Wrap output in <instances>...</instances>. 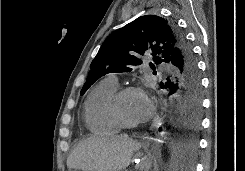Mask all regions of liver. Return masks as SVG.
<instances>
[{
	"mask_svg": "<svg viewBox=\"0 0 245 171\" xmlns=\"http://www.w3.org/2000/svg\"><path fill=\"white\" fill-rule=\"evenodd\" d=\"M141 143L126 136L89 137L80 142L67 159L69 169L120 171L130 165Z\"/></svg>",
	"mask_w": 245,
	"mask_h": 171,
	"instance_id": "obj_1",
	"label": "liver"
}]
</instances>
